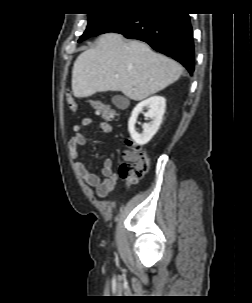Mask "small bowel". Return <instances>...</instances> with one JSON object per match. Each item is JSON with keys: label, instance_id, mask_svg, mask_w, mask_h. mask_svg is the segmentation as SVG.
I'll return each instance as SVG.
<instances>
[{"label": "small bowel", "instance_id": "1", "mask_svg": "<svg viewBox=\"0 0 252 303\" xmlns=\"http://www.w3.org/2000/svg\"><path fill=\"white\" fill-rule=\"evenodd\" d=\"M93 120L89 117L83 118L79 123L73 126V134L69 141V156L74 161V168L78 175L92 188H95L99 197H107L115 188L118 177L113 171V162L110 158L103 161L101 174L102 177L92 173L85 164L78 160L79 148L85 144V138L82 131L91 125ZM102 132H112V126L105 121L99 123Z\"/></svg>", "mask_w": 252, "mask_h": 303}]
</instances>
